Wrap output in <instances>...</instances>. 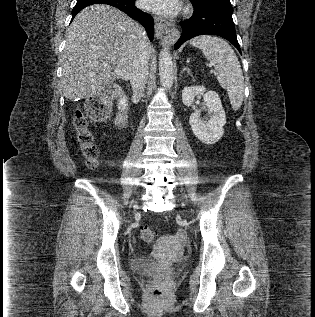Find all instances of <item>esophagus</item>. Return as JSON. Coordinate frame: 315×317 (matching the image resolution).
<instances>
[{"instance_id": "1", "label": "esophagus", "mask_w": 315, "mask_h": 317, "mask_svg": "<svg viewBox=\"0 0 315 317\" xmlns=\"http://www.w3.org/2000/svg\"><path fill=\"white\" fill-rule=\"evenodd\" d=\"M155 35L163 45L171 46L179 38L180 33L172 24L160 17H154Z\"/></svg>"}]
</instances>
